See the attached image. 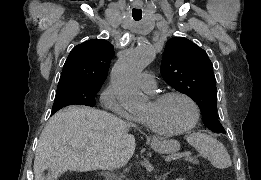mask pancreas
Listing matches in <instances>:
<instances>
[{"label":"pancreas","mask_w":261,"mask_h":180,"mask_svg":"<svg viewBox=\"0 0 261 180\" xmlns=\"http://www.w3.org/2000/svg\"><path fill=\"white\" fill-rule=\"evenodd\" d=\"M190 164H199V159H193V161L189 162Z\"/></svg>","instance_id":"1"}]
</instances>
